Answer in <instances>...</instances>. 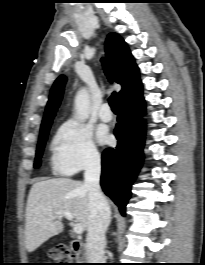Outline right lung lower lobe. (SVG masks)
I'll return each instance as SVG.
<instances>
[{
    "mask_svg": "<svg viewBox=\"0 0 205 265\" xmlns=\"http://www.w3.org/2000/svg\"><path fill=\"white\" fill-rule=\"evenodd\" d=\"M145 101L143 96L135 102L119 107L118 123L114 134L118 140L115 149L102 154L101 186L107 196L119 207L122 215L131 196V184L143 161L145 139Z\"/></svg>",
    "mask_w": 205,
    "mask_h": 265,
    "instance_id": "98d812e1",
    "label": "right lung lower lobe"
}]
</instances>
